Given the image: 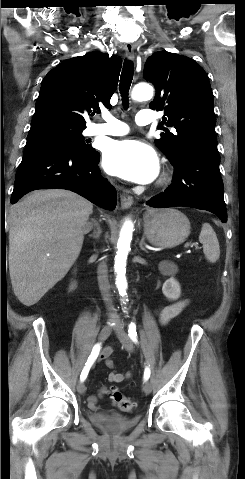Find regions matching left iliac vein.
<instances>
[{"label": "left iliac vein", "instance_id": "left-iliac-vein-1", "mask_svg": "<svg viewBox=\"0 0 245 479\" xmlns=\"http://www.w3.org/2000/svg\"><path fill=\"white\" fill-rule=\"evenodd\" d=\"M115 333H116L118 339L120 340V342L122 343L123 347L128 352H132L133 349H134L132 341L130 340V338H129L128 334L126 333L122 324H118L115 327ZM151 390H152L151 383L149 381L145 382V384L143 385V391L146 394H149L151 392Z\"/></svg>", "mask_w": 245, "mask_h": 479}]
</instances>
